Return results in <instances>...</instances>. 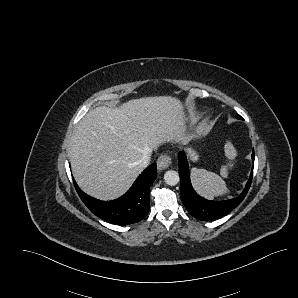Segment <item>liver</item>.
Listing matches in <instances>:
<instances>
[{"mask_svg": "<svg viewBox=\"0 0 298 298\" xmlns=\"http://www.w3.org/2000/svg\"><path fill=\"white\" fill-rule=\"evenodd\" d=\"M184 101L175 95L132 98L98 106L77 124L69 159L78 187L100 201L123 196L144 168L138 161L153 149L187 144L192 136Z\"/></svg>", "mask_w": 298, "mask_h": 298, "instance_id": "liver-1", "label": "liver"}]
</instances>
